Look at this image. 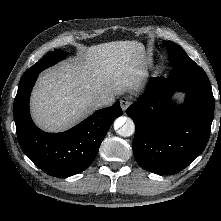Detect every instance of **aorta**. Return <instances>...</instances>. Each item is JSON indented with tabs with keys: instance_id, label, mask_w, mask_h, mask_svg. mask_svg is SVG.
Instances as JSON below:
<instances>
[{
	"instance_id": "762f6f07",
	"label": "aorta",
	"mask_w": 221,
	"mask_h": 221,
	"mask_svg": "<svg viewBox=\"0 0 221 221\" xmlns=\"http://www.w3.org/2000/svg\"><path fill=\"white\" fill-rule=\"evenodd\" d=\"M114 129L122 137H129L133 135L135 131V125L131 118L128 117H119L114 123Z\"/></svg>"
}]
</instances>
